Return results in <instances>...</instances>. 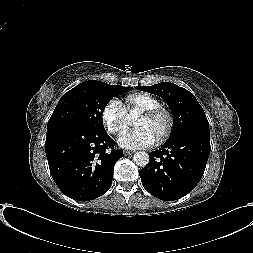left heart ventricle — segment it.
Listing matches in <instances>:
<instances>
[{"label": "left heart ventricle", "instance_id": "left-heart-ventricle-1", "mask_svg": "<svg viewBox=\"0 0 253 253\" xmlns=\"http://www.w3.org/2000/svg\"><path fill=\"white\" fill-rule=\"evenodd\" d=\"M165 125V121L163 118L152 119L141 115L136 123L138 128H147L150 129L158 138L161 134V131Z\"/></svg>", "mask_w": 253, "mask_h": 253}]
</instances>
